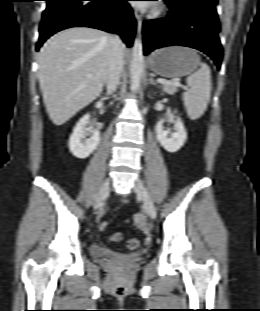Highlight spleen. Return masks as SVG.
Returning a JSON list of instances; mask_svg holds the SVG:
<instances>
[{"label": "spleen", "mask_w": 260, "mask_h": 311, "mask_svg": "<svg viewBox=\"0 0 260 311\" xmlns=\"http://www.w3.org/2000/svg\"><path fill=\"white\" fill-rule=\"evenodd\" d=\"M187 77V91L183 93L184 105L191 120L200 118L207 109L211 94V71L206 63Z\"/></svg>", "instance_id": "obj_1"}]
</instances>
